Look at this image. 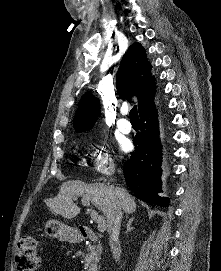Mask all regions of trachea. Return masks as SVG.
<instances>
[{
  "mask_svg": "<svg viewBox=\"0 0 221 271\" xmlns=\"http://www.w3.org/2000/svg\"><path fill=\"white\" fill-rule=\"evenodd\" d=\"M130 121H139L137 106H133V108L130 110Z\"/></svg>",
  "mask_w": 221,
  "mask_h": 271,
  "instance_id": "trachea-1",
  "label": "trachea"
}]
</instances>
